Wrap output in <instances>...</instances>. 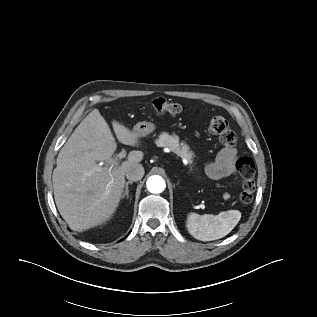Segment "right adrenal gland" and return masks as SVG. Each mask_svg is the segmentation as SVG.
I'll return each instance as SVG.
<instances>
[{"mask_svg":"<svg viewBox=\"0 0 317 317\" xmlns=\"http://www.w3.org/2000/svg\"><path fill=\"white\" fill-rule=\"evenodd\" d=\"M129 184H132V182L131 181L126 182L125 192L123 193L122 198H125V196L128 198V196H129L128 185Z\"/></svg>","mask_w":317,"mask_h":317,"instance_id":"1","label":"right adrenal gland"}]
</instances>
